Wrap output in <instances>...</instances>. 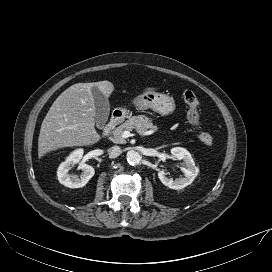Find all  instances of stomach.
<instances>
[{"label": "stomach", "mask_w": 272, "mask_h": 272, "mask_svg": "<svg viewBox=\"0 0 272 272\" xmlns=\"http://www.w3.org/2000/svg\"><path fill=\"white\" fill-rule=\"evenodd\" d=\"M133 103L139 109H152L161 115L172 114L176 109L172 97L155 91H143L134 99Z\"/></svg>", "instance_id": "1"}]
</instances>
